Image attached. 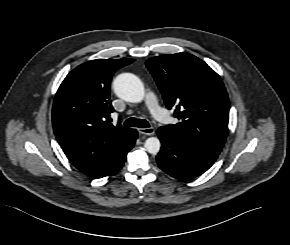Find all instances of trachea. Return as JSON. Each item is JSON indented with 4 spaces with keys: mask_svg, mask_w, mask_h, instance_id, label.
<instances>
[{
    "mask_svg": "<svg viewBox=\"0 0 290 245\" xmlns=\"http://www.w3.org/2000/svg\"><path fill=\"white\" fill-rule=\"evenodd\" d=\"M125 126L130 127H139V128H148L149 123L145 119L129 118L124 122Z\"/></svg>",
    "mask_w": 290,
    "mask_h": 245,
    "instance_id": "trachea-1",
    "label": "trachea"
}]
</instances>
